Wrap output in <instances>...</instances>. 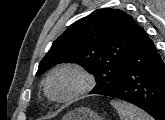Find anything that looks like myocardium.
Here are the masks:
<instances>
[{"label":"myocardium","instance_id":"obj_1","mask_svg":"<svg viewBox=\"0 0 165 120\" xmlns=\"http://www.w3.org/2000/svg\"><path fill=\"white\" fill-rule=\"evenodd\" d=\"M64 71H71L74 72L75 74H77L79 76V78L81 79V85L80 87L75 90L73 93H71L70 95L66 96V97H56L50 88V84L51 81L53 79V77L61 72ZM94 87V77L92 76V74L85 69L83 66L76 64V63H63L61 65L56 66L55 68H53L50 73L48 74L46 80H45V93L47 94V96L55 101V102H59V103H66V102H70L76 98H79L83 95H85L86 93H88L89 91L92 90V88Z\"/></svg>","mask_w":165,"mask_h":120}]
</instances>
